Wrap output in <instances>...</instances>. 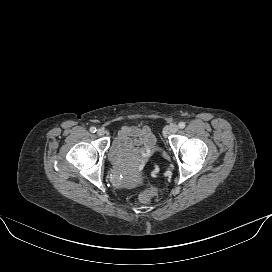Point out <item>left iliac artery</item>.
Instances as JSON below:
<instances>
[{"label":"left iliac artery","instance_id":"44dca946","mask_svg":"<svg viewBox=\"0 0 272 272\" xmlns=\"http://www.w3.org/2000/svg\"><path fill=\"white\" fill-rule=\"evenodd\" d=\"M178 126H179V128L183 129V128L185 127V123H184V122H180V123L178 124Z\"/></svg>","mask_w":272,"mask_h":272}]
</instances>
